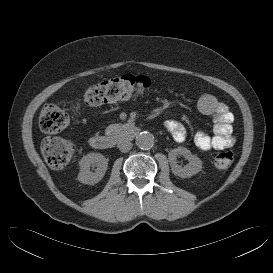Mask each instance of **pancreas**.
Returning a JSON list of instances; mask_svg holds the SVG:
<instances>
[{
    "label": "pancreas",
    "instance_id": "pancreas-1",
    "mask_svg": "<svg viewBox=\"0 0 273 273\" xmlns=\"http://www.w3.org/2000/svg\"><path fill=\"white\" fill-rule=\"evenodd\" d=\"M123 130V127L120 124H110L106 129L105 133L107 135H116Z\"/></svg>",
    "mask_w": 273,
    "mask_h": 273
}]
</instances>
